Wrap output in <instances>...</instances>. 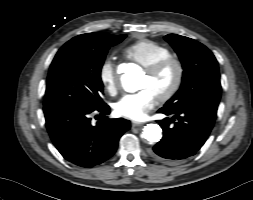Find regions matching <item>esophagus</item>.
Returning a JSON list of instances; mask_svg holds the SVG:
<instances>
[{"instance_id": "esophagus-1", "label": "esophagus", "mask_w": 253, "mask_h": 200, "mask_svg": "<svg viewBox=\"0 0 253 200\" xmlns=\"http://www.w3.org/2000/svg\"><path fill=\"white\" fill-rule=\"evenodd\" d=\"M140 126H142V123H137V122L132 123V128L140 127Z\"/></svg>"}]
</instances>
